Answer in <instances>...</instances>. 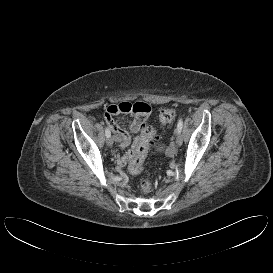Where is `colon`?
I'll return each instance as SVG.
<instances>
[{
	"mask_svg": "<svg viewBox=\"0 0 273 273\" xmlns=\"http://www.w3.org/2000/svg\"><path fill=\"white\" fill-rule=\"evenodd\" d=\"M176 117V110L166 108L160 111L159 122L167 124L172 122ZM155 128L152 126H144L141 137L135 145L133 155L129 161L128 170L131 174H139L144 168L145 159L148 153L149 145L155 136ZM143 192H150L152 189V182L149 179H142L139 183Z\"/></svg>",
	"mask_w": 273,
	"mask_h": 273,
	"instance_id": "1",
	"label": "colon"
}]
</instances>
